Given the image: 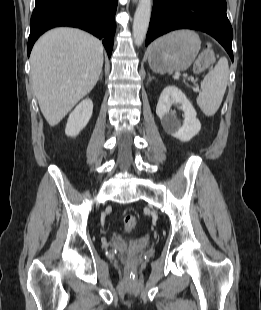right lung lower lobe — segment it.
<instances>
[{
  "label": "right lung lower lobe",
  "mask_w": 261,
  "mask_h": 310,
  "mask_svg": "<svg viewBox=\"0 0 261 310\" xmlns=\"http://www.w3.org/2000/svg\"><path fill=\"white\" fill-rule=\"evenodd\" d=\"M117 0H36L30 21L27 53L38 37L56 26H72L102 39L111 56L115 35Z\"/></svg>",
  "instance_id": "right-lung-lower-lobe-1"
}]
</instances>
